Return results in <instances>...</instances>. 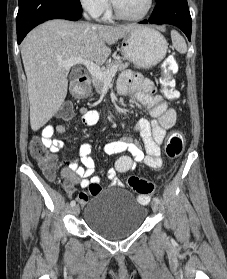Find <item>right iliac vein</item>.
Returning a JSON list of instances; mask_svg holds the SVG:
<instances>
[{"label":"right iliac vein","instance_id":"right-iliac-vein-1","mask_svg":"<svg viewBox=\"0 0 227 279\" xmlns=\"http://www.w3.org/2000/svg\"><path fill=\"white\" fill-rule=\"evenodd\" d=\"M72 211H73L74 215H78L80 212V207L78 205H76L73 207Z\"/></svg>","mask_w":227,"mask_h":279}]
</instances>
